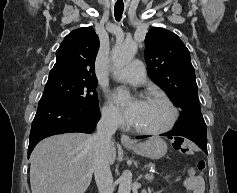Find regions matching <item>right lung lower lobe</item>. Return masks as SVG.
<instances>
[{
    "label": "right lung lower lobe",
    "instance_id": "98d812e1",
    "mask_svg": "<svg viewBox=\"0 0 237 193\" xmlns=\"http://www.w3.org/2000/svg\"><path fill=\"white\" fill-rule=\"evenodd\" d=\"M99 118V108L87 110L56 101H40L31 126L28 158L42 139L69 132L92 133Z\"/></svg>",
    "mask_w": 237,
    "mask_h": 193
}]
</instances>
